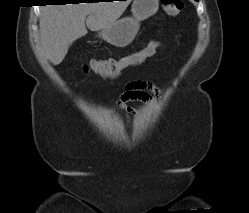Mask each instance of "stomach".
Returning a JSON list of instances; mask_svg holds the SVG:
<instances>
[{
    "mask_svg": "<svg viewBox=\"0 0 249 213\" xmlns=\"http://www.w3.org/2000/svg\"><path fill=\"white\" fill-rule=\"evenodd\" d=\"M159 8V0H134L132 17H124L101 29L99 36L116 47H125L135 38L140 22L154 15Z\"/></svg>",
    "mask_w": 249,
    "mask_h": 213,
    "instance_id": "obj_1",
    "label": "stomach"
}]
</instances>
